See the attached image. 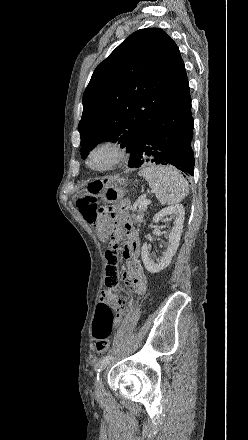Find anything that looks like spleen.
<instances>
[{"mask_svg": "<svg viewBox=\"0 0 248 440\" xmlns=\"http://www.w3.org/2000/svg\"><path fill=\"white\" fill-rule=\"evenodd\" d=\"M161 204H177L189 193V187L182 175L172 167L151 165L139 171Z\"/></svg>", "mask_w": 248, "mask_h": 440, "instance_id": "obj_1", "label": "spleen"}]
</instances>
